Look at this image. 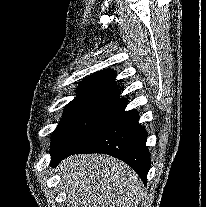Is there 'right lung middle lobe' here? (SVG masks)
<instances>
[{
    "label": "right lung middle lobe",
    "mask_w": 206,
    "mask_h": 207,
    "mask_svg": "<svg viewBox=\"0 0 206 207\" xmlns=\"http://www.w3.org/2000/svg\"><path fill=\"white\" fill-rule=\"evenodd\" d=\"M120 98L73 100L52 135L50 152L77 148L125 112Z\"/></svg>",
    "instance_id": "dd1d6c3e"
}]
</instances>
